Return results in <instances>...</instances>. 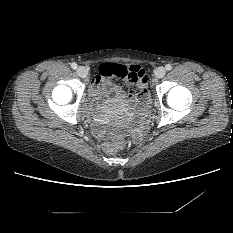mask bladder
<instances>
[{
	"label": "bladder",
	"mask_w": 233,
	"mask_h": 233,
	"mask_svg": "<svg viewBox=\"0 0 233 233\" xmlns=\"http://www.w3.org/2000/svg\"><path fill=\"white\" fill-rule=\"evenodd\" d=\"M144 101L146 104L151 102L150 94L146 91L144 95Z\"/></svg>",
	"instance_id": "31cf9c89"
}]
</instances>
